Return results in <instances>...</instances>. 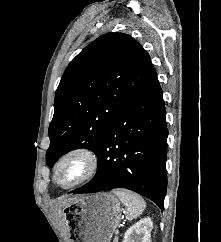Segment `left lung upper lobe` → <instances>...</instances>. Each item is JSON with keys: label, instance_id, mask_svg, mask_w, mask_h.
<instances>
[{"label": "left lung upper lobe", "instance_id": "5c2ea615", "mask_svg": "<svg viewBox=\"0 0 221 242\" xmlns=\"http://www.w3.org/2000/svg\"><path fill=\"white\" fill-rule=\"evenodd\" d=\"M156 77L149 54L127 34L106 33L86 46L69 63L56 91L47 165L73 149L96 154L114 119Z\"/></svg>", "mask_w": 221, "mask_h": 242}]
</instances>
